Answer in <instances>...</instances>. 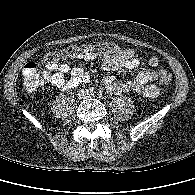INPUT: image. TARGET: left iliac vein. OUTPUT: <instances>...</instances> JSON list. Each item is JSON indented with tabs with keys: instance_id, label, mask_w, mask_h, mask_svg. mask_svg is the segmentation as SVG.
<instances>
[{
	"instance_id": "4c4485c4",
	"label": "left iliac vein",
	"mask_w": 195,
	"mask_h": 195,
	"mask_svg": "<svg viewBox=\"0 0 195 195\" xmlns=\"http://www.w3.org/2000/svg\"><path fill=\"white\" fill-rule=\"evenodd\" d=\"M88 95H89V97H95V93H90V92H89Z\"/></svg>"
}]
</instances>
